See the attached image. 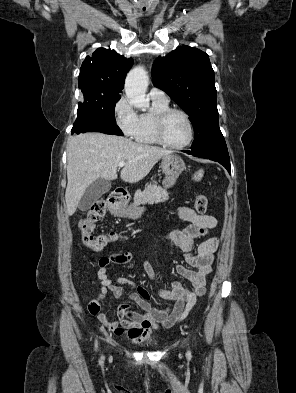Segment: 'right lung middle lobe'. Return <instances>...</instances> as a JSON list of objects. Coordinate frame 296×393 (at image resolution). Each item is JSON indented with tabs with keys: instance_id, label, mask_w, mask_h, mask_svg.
Segmentation results:
<instances>
[{
	"instance_id": "1",
	"label": "right lung middle lobe",
	"mask_w": 296,
	"mask_h": 393,
	"mask_svg": "<svg viewBox=\"0 0 296 393\" xmlns=\"http://www.w3.org/2000/svg\"><path fill=\"white\" fill-rule=\"evenodd\" d=\"M120 95L108 97H85L79 103L77 118L84 119L92 117L109 124H116L115 105L119 101Z\"/></svg>"
}]
</instances>
